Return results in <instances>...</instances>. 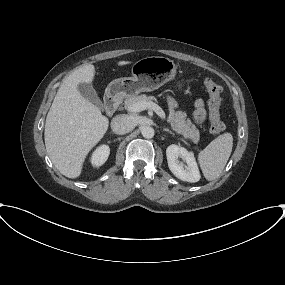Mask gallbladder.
<instances>
[{"label": "gallbladder", "mask_w": 285, "mask_h": 285, "mask_svg": "<svg viewBox=\"0 0 285 285\" xmlns=\"http://www.w3.org/2000/svg\"><path fill=\"white\" fill-rule=\"evenodd\" d=\"M77 89H78L79 93L81 94V96H83L86 100L94 103L95 105H97L100 108H103L102 101L98 97L95 89L93 88V86L91 84L80 83L78 85Z\"/></svg>", "instance_id": "obj_1"}]
</instances>
